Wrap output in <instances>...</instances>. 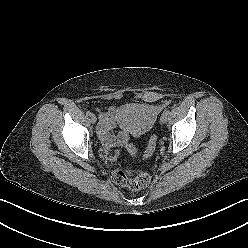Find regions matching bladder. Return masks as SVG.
Instances as JSON below:
<instances>
[{
  "label": "bladder",
  "mask_w": 248,
  "mask_h": 248,
  "mask_svg": "<svg viewBox=\"0 0 248 248\" xmlns=\"http://www.w3.org/2000/svg\"><path fill=\"white\" fill-rule=\"evenodd\" d=\"M119 125L128 128L135 135L150 131L156 122L157 114L152 105L147 103H129L116 111Z\"/></svg>",
  "instance_id": "obj_1"
}]
</instances>
